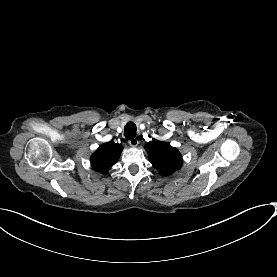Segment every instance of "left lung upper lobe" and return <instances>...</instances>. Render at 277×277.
Wrapping results in <instances>:
<instances>
[{"label":"left lung upper lobe","mask_w":277,"mask_h":277,"mask_svg":"<svg viewBox=\"0 0 277 277\" xmlns=\"http://www.w3.org/2000/svg\"><path fill=\"white\" fill-rule=\"evenodd\" d=\"M149 161L161 175L168 176L179 170L183 160L180 152L169 143L153 139L145 145Z\"/></svg>","instance_id":"obj_1"}]
</instances>
